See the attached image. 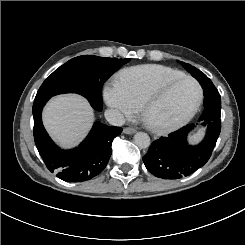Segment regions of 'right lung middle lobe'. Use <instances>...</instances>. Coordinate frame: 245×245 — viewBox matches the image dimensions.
<instances>
[{"label": "right lung middle lobe", "instance_id": "1", "mask_svg": "<svg viewBox=\"0 0 245 245\" xmlns=\"http://www.w3.org/2000/svg\"><path fill=\"white\" fill-rule=\"evenodd\" d=\"M129 60L91 55L73 58L43 82L35 101L62 93H78L86 97L95 110L101 111L104 82Z\"/></svg>", "mask_w": 245, "mask_h": 245}]
</instances>
